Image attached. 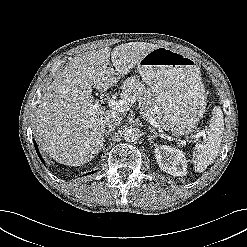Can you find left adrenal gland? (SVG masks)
Segmentation results:
<instances>
[{
  "label": "left adrenal gland",
  "instance_id": "obj_1",
  "mask_svg": "<svg viewBox=\"0 0 247 247\" xmlns=\"http://www.w3.org/2000/svg\"><path fill=\"white\" fill-rule=\"evenodd\" d=\"M149 130H150V132H153V131L151 130V128H149Z\"/></svg>",
  "mask_w": 247,
  "mask_h": 247
}]
</instances>
